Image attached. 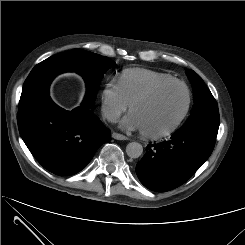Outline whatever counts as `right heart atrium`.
Instances as JSON below:
<instances>
[{
	"instance_id": "right-heart-atrium-1",
	"label": "right heart atrium",
	"mask_w": 245,
	"mask_h": 245,
	"mask_svg": "<svg viewBox=\"0 0 245 245\" xmlns=\"http://www.w3.org/2000/svg\"><path fill=\"white\" fill-rule=\"evenodd\" d=\"M100 106L102 116L110 121L115 122L128 108L118 84L107 83L104 85L100 95Z\"/></svg>"
}]
</instances>
